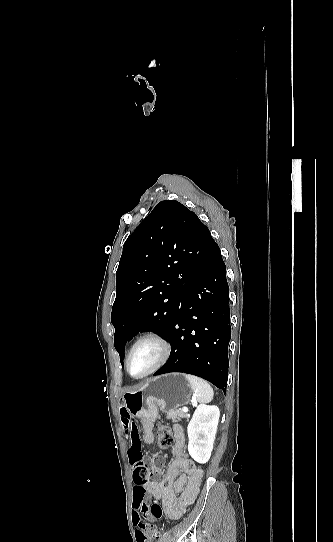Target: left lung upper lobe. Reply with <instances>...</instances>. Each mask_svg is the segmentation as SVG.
Returning a JSON list of instances; mask_svg holds the SVG:
<instances>
[{
  "instance_id": "5c2ea615",
  "label": "left lung upper lobe",
  "mask_w": 333,
  "mask_h": 542,
  "mask_svg": "<svg viewBox=\"0 0 333 542\" xmlns=\"http://www.w3.org/2000/svg\"><path fill=\"white\" fill-rule=\"evenodd\" d=\"M213 241L197 215L175 200L161 201L128 237L111 313L121 360L126 342L140 331L169 335Z\"/></svg>"
}]
</instances>
